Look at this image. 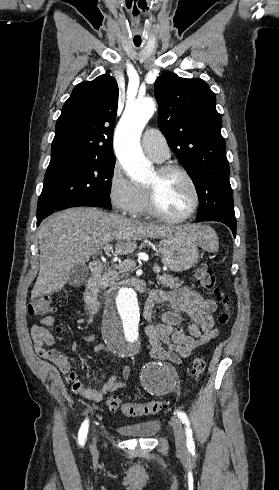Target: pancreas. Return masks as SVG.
Returning a JSON list of instances; mask_svg holds the SVG:
<instances>
[{
    "mask_svg": "<svg viewBox=\"0 0 279 490\" xmlns=\"http://www.w3.org/2000/svg\"><path fill=\"white\" fill-rule=\"evenodd\" d=\"M135 264H122V266H113V268H107L104 272L102 278L99 280V286L101 288H107V286H113L116 282H119L120 278H126L129 276V272H133ZM157 284H162L163 288H179L182 282H179L178 278H173V276H157Z\"/></svg>",
    "mask_w": 279,
    "mask_h": 490,
    "instance_id": "pancreas-1",
    "label": "pancreas"
}]
</instances>
